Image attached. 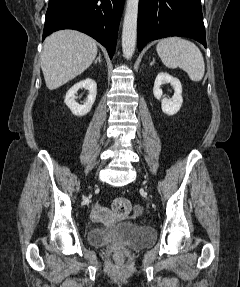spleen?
Wrapping results in <instances>:
<instances>
[{
    "label": "spleen",
    "mask_w": 240,
    "mask_h": 287,
    "mask_svg": "<svg viewBox=\"0 0 240 287\" xmlns=\"http://www.w3.org/2000/svg\"><path fill=\"white\" fill-rule=\"evenodd\" d=\"M156 51L166 67H179L194 82L202 80L205 72L204 59L193 42L181 37H167L158 42Z\"/></svg>",
    "instance_id": "spleen-1"
}]
</instances>
